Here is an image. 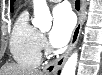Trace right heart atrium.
Wrapping results in <instances>:
<instances>
[{
	"label": "right heart atrium",
	"instance_id": "obj_1",
	"mask_svg": "<svg viewBox=\"0 0 102 75\" xmlns=\"http://www.w3.org/2000/svg\"><path fill=\"white\" fill-rule=\"evenodd\" d=\"M41 48L45 52L48 51V45H47V42H46V40H45V38L43 36L41 37Z\"/></svg>",
	"mask_w": 102,
	"mask_h": 75
}]
</instances>
